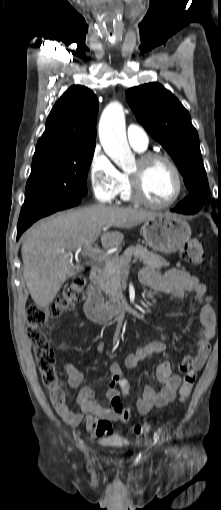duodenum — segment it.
<instances>
[{
    "label": "duodenum",
    "mask_w": 221,
    "mask_h": 510,
    "mask_svg": "<svg viewBox=\"0 0 221 510\" xmlns=\"http://www.w3.org/2000/svg\"><path fill=\"white\" fill-rule=\"evenodd\" d=\"M101 267L94 265L90 269V283L86 292L84 312L89 320L103 324L125 311L126 305L120 300H111L105 303L101 294L100 281Z\"/></svg>",
    "instance_id": "410a0bca"
}]
</instances>
